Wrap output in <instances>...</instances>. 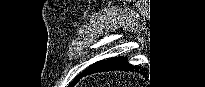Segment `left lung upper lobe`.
<instances>
[{"label":"left lung upper lobe","mask_w":205,"mask_h":87,"mask_svg":"<svg viewBox=\"0 0 205 87\" xmlns=\"http://www.w3.org/2000/svg\"><path fill=\"white\" fill-rule=\"evenodd\" d=\"M77 80H78V76L70 83V87H72L73 85H74V83H76L77 82Z\"/></svg>","instance_id":"1"}]
</instances>
